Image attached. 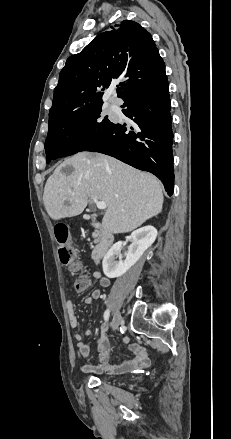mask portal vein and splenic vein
Returning a JSON list of instances; mask_svg holds the SVG:
<instances>
[{
  "label": "portal vein and splenic vein",
  "instance_id": "portal-vein-and-splenic-vein-1",
  "mask_svg": "<svg viewBox=\"0 0 231 439\" xmlns=\"http://www.w3.org/2000/svg\"><path fill=\"white\" fill-rule=\"evenodd\" d=\"M93 202L96 204L97 208L100 210H105L107 205L103 201H99L96 197H92Z\"/></svg>",
  "mask_w": 231,
  "mask_h": 439
}]
</instances>
